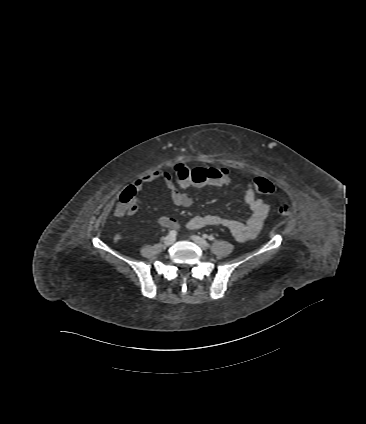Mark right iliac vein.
Returning <instances> with one entry per match:
<instances>
[{"label":"right iliac vein","instance_id":"1","mask_svg":"<svg viewBox=\"0 0 366 424\" xmlns=\"http://www.w3.org/2000/svg\"><path fill=\"white\" fill-rule=\"evenodd\" d=\"M174 242H175V237H174V236L168 235V236H166V237L164 238V244H165L166 246H170V245H172Z\"/></svg>","mask_w":366,"mask_h":424}]
</instances>
